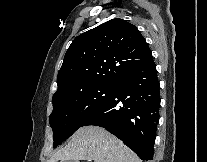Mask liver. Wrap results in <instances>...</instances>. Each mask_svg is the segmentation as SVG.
Here are the masks:
<instances>
[{
	"mask_svg": "<svg viewBox=\"0 0 207 162\" xmlns=\"http://www.w3.org/2000/svg\"><path fill=\"white\" fill-rule=\"evenodd\" d=\"M142 162L121 140L99 126L79 128L48 162Z\"/></svg>",
	"mask_w": 207,
	"mask_h": 162,
	"instance_id": "1",
	"label": "liver"
}]
</instances>
